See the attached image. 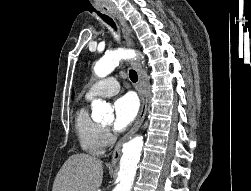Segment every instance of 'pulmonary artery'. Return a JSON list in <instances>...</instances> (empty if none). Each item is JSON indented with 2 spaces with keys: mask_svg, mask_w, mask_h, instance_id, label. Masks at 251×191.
Returning <instances> with one entry per match:
<instances>
[{
  "mask_svg": "<svg viewBox=\"0 0 251 191\" xmlns=\"http://www.w3.org/2000/svg\"><path fill=\"white\" fill-rule=\"evenodd\" d=\"M119 90L120 84L118 80L114 76H105L89 85L85 97L90 99L95 96H113Z\"/></svg>",
  "mask_w": 251,
  "mask_h": 191,
  "instance_id": "pulmonary-artery-1",
  "label": "pulmonary artery"
}]
</instances>
